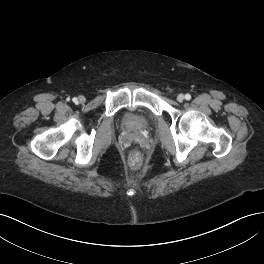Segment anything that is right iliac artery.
Instances as JSON below:
<instances>
[{
  "mask_svg": "<svg viewBox=\"0 0 264 264\" xmlns=\"http://www.w3.org/2000/svg\"><path fill=\"white\" fill-rule=\"evenodd\" d=\"M72 101H73L74 103H76V102H77V98H73Z\"/></svg>",
  "mask_w": 264,
  "mask_h": 264,
  "instance_id": "right-iliac-artery-1",
  "label": "right iliac artery"
}]
</instances>
